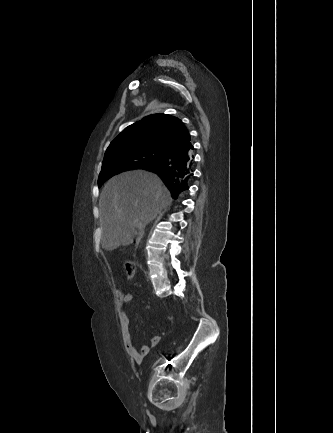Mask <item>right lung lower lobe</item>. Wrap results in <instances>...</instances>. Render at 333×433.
<instances>
[{
	"label": "right lung lower lobe",
	"instance_id": "98d812e1",
	"mask_svg": "<svg viewBox=\"0 0 333 433\" xmlns=\"http://www.w3.org/2000/svg\"><path fill=\"white\" fill-rule=\"evenodd\" d=\"M193 149L192 144L178 148L168 153L159 163L147 168L160 176L173 198L189 189L193 177Z\"/></svg>",
	"mask_w": 333,
	"mask_h": 433
}]
</instances>
